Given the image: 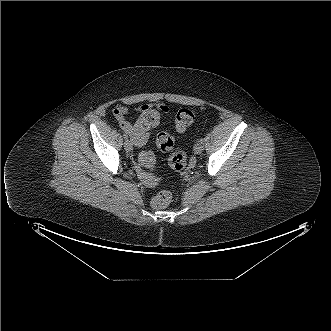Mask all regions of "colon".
<instances>
[{
	"label": "colon",
	"mask_w": 331,
	"mask_h": 331,
	"mask_svg": "<svg viewBox=\"0 0 331 331\" xmlns=\"http://www.w3.org/2000/svg\"><path fill=\"white\" fill-rule=\"evenodd\" d=\"M196 112L192 108H182L175 115V127L186 130L195 120ZM160 120V114L155 109H147L140 112L137 120L139 140L144 141L148 138L149 131L154 128ZM156 143L162 152L169 153V164L176 171H182L187 167L188 161L182 151L174 150V139L167 132L158 134ZM152 158L146 159V164L151 165ZM171 201V193L168 190L160 191L152 199V206L155 209L166 207Z\"/></svg>",
	"instance_id": "obj_1"
}]
</instances>
